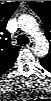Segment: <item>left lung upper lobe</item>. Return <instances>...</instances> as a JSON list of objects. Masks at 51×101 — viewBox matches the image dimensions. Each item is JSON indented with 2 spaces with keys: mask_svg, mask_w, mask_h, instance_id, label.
<instances>
[{
  "mask_svg": "<svg viewBox=\"0 0 51 101\" xmlns=\"http://www.w3.org/2000/svg\"><path fill=\"white\" fill-rule=\"evenodd\" d=\"M29 7L41 18L44 26V32L49 40L51 37V1L43 3L39 2H28ZM50 53L43 57V59L51 62Z\"/></svg>",
  "mask_w": 51,
  "mask_h": 101,
  "instance_id": "5c2ea615",
  "label": "left lung upper lobe"
}]
</instances>
